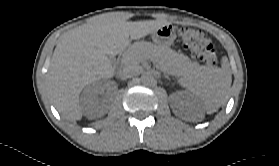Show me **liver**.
Returning <instances> with one entry per match:
<instances>
[{
	"label": "liver",
	"instance_id": "obj_1",
	"mask_svg": "<svg viewBox=\"0 0 279 166\" xmlns=\"http://www.w3.org/2000/svg\"><path fill=\"white\" fill-rule=\"evenodd\" d=\"M167 21H126L119 13L100 16L89 24L64 33L52 55L47 84L53 103L65 118L80 120L82 89L99 79L113 77L115 69L108 56H116Z\"/></svg>",
	"mask_w": 279,
	"mask_h": 166
}]
</instances>
